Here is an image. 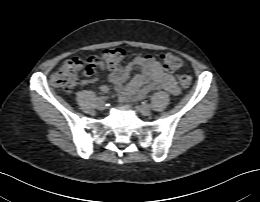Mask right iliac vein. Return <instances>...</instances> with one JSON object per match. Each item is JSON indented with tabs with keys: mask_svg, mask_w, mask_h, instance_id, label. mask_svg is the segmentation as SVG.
Masks as SVG:
<instances>
[{
	"mask_svg": "<svg viewBox=\"0 0 260 202\" xmlns=\"http://www.w3.org/2000/svg\"><path fill=\"white\" fill-rule=\"evenodd\" d=\"M98 109L99 110H104L105 109V102L104 101H99L98 102Z\"/></svg>",
	"mask_w": 260,
	"mask_h": 202,
	"instance_id": "obj_1",
	"label": "right iliac vein"
}]
</instances>
